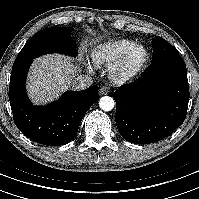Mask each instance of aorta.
<instances>
[{
    "label": "aorta",
    "instance_id": "aorta-1",
    "mask_svg": "<svg viewBox=\"0 0 199 199\" xmlns=\"http://www.w3.org/2000/svg\"><path fill=\"white\" fill-rule=\"evenodd\" d=\"M115 101L110 96H103L99 100V107L103 111H111L114 108Z\"/></svg>",
    "mask_w": 199,
    "mask_h": 199
}]
</instances>
